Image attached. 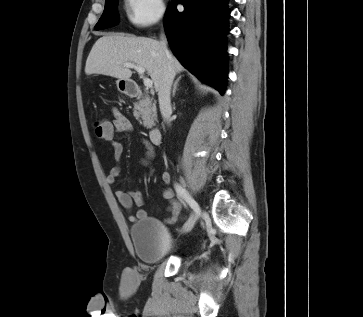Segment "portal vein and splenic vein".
I'll return each instance as SVG.
<instances>
[{"mask_svg": "<svg viewBox=\"0 0 363 317\" xmlns=\"http://www.w3.org/2000/svg\"><path fill=\"white\" fill-rule=\"evenodd\" d=\"M122 65L124 67H126V68L135 69L138 72V74L140 75V77L143 78V83H144L145 87H147V88L152 87V85H153L152 80H150L149 78L144 77V72H145L144 67L133 64V63H123Z\"/></svg>", "mask_w": 363, "mask_h": 317, "instance_id": "obj_1", "label": "portal vein and splenic vein"}]
</instances>
